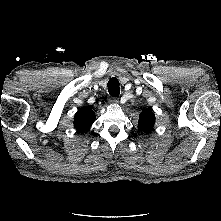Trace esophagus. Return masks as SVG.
Returning a JSON list of instances; mask_svg holds the SVG:
<instances>
[{"mask_svg":"<svg viewBox=\"0 0 221 221\" xmlns=\"http://www.w3.org/2000/svg\"><path fill=\"white\" fill-rule=\"evenodd\" d=\"M111 101H112V102H115V103H116V102H118L117 98H115V97H114V98H112V100H111Z\"/></svg>","mask_w":221,"mask_h":221,"instance_id":"esophagus-1","label":"esophagus"}]
</instances>
